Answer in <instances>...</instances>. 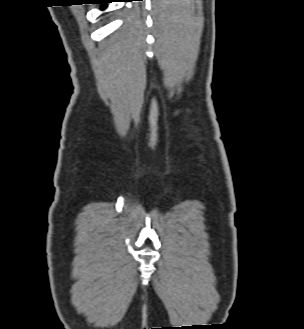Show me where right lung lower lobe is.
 Instances as JSON below:
<instances>
[{"label": "right lung lower lobe", "mask_w": 304, "mask_h": 329, "mask_svg": "<svg viewBox=\"0 0 304 329\" xmlns=\"http://www.w3.org/2000/svg\"><path fill=\"white\" fill-rule=\"evenodd\" d=\"M108 2H111V1L110 0H102L99 3H108ZM104 7H105V5L102 6V8H104Z\"/></svg>", "instance_id": "98d812e1"}]
</instances>
